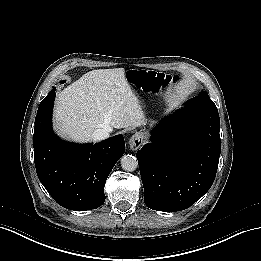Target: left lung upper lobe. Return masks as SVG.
<instances>
[{
	"label": "left lung upper lobe",
	"mask_w": 261,
	"mask_h": 261,
	"mask_svg": "<svg viewBox=\"0 0 261 261\" xmlns=\"http://www.w3.org/2000/svg\"><path fill=\"white\" fill-rule=\"evenodd\" d=\"M196 98L213 103V101L210 99L209 95L204 91H202L199 94V96H197Z\"/></svg>",
	"instance_id": "5c2ea615"
}]
</instances>
